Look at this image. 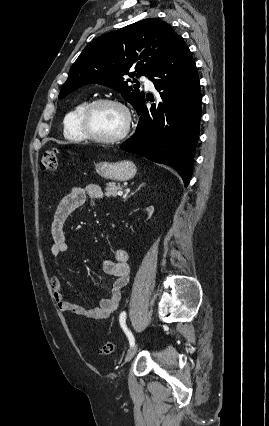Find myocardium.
I'll list each match as a JSON object with an SVG mask.
<instances>
[{
	"instance_id": "obj_1",
	"label": "myocardium",
	"mask_w": 269,
	"mask_h": 426,
	"mask_svg": "<svg viewBox=\"0 0 269 426\" xmlns=\"http://www.w3.org/2000/svg\"><path fill=\"white\" fill-rule=\"evenodd\" d=\"M99 105L115 106V107L119 108L121 110V112L123 113V115H124V126L118 134L111 136V137H101V136L94 134L90 130L89 123H88L89 116H90L92 110ZM131 125H132V117H131V113H130L129 109L127 108V106L125 104H123L122 102H120L116 99H111V98H98V99H94V100L90 101L85 106V108L83 109L81 116H80V126H81V129H82L85 137L87 139L93 140V141L98 142V143H103V144H115V143H118V142L122 141L123 139H125L130 132Z\"/></svg>"
}]
</instances>
